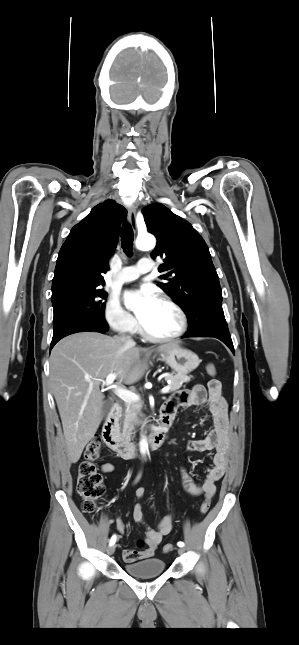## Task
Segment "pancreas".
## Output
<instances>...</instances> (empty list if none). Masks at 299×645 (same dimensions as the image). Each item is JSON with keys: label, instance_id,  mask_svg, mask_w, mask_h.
Segmentation results:
<instances>
[{"label": "pancreas", "instance_id": "1", "mask_svg": "<svg viewBox=\"0 0 299 645\" xmlns=\"http://www.w3.org/2000/svg\"><path fill=\"white\" fill-rule=\"evenodd\" d=\"M190 379H191V376H187L185 374H176L173 376L166 377V380L171 381V383L169 384V387H170L169 392H174L180 389L182 387V384L189 382ZM125 408L126 410H125L124 420H123L122 436L127 440H130L133 434V431L135 430V426L140 424V420L138 417V415H141L140 405L136 402H127L125 403Z\"/></svg>", "mask_w": 299, "mask_h": 645}]
</instances>
